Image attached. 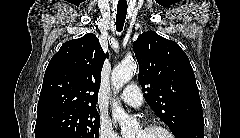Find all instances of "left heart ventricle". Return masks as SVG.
<instances>
[{"instance_id": "obj_1", "label": "left heart ventricle", "mask_w": 240, "mask_h": 138, "mask_svg": "<svg viewBox=\"0 0 240 138\" xmlns=\"http://www.w3.org/2000/svg\"><path fill=\"white\" fill-rule=\"evenodd\" d=\"M133 138H166V134L157 130H138L133 134Z\"/></svg>"}]
</instances>
